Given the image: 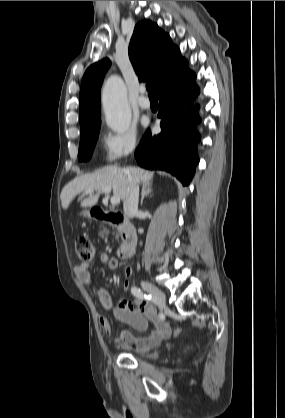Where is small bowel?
I'll return each instance as SVG.
<instances>
[{
	"label": "small bowel",
	"instance_id": "c3829d8e",
	"mask_svg": "<svg viewBox=\"0 0 285 418\" xmlns=\"http://www.w3.org/2000/svg\"><path fill=\"white\" fill-rule=\"evenodd\" d=\"M100 262L112 270L118 267V260L115 257L105 253L101 254ZM75 273L78 279L84 285L92 286L93 279L89 272V263H80L76 265ZM132 274L133 268L131 266L124 268L123 287L125 289L131 286L130 277ZM98 296L104 308L112 310L117 317L121 318L137 329H143L147 320L153 321L155 323L153 331L148 336L144 337H137L128 330H122L119 337L115 338L114 340V345L116 347L129 350H148L160 344L162 340L170 335V325L164 321L155 319V310L149 303L142 301L139 298L135 301L120 299L114 302L111 294L105 289H100ZM100 323L107 335H111L113 333L112 323L106 316H100Z\"/></svg>",
	"mask_w": 285,
	"mask_h": 418
}]
</instances>
